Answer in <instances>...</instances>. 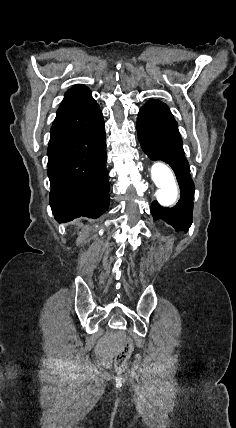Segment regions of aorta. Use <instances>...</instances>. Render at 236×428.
Here are the masks:
<instances>
[{"mask_svg": "<svg viewBox=\"0 0 236 428\" xmlns=\"http://www.w3.org/2000/svg\"><path fill=\"white\" fill-rule=\"evenodd\" d=\"M151 176L158 187L156 198L163 207L173 205L178 196V189L172 170L162 162H156L151 167Z\"/></svg>", "mask_w": 236, "mask_h": 428, "instance_id": "obj_1", "label": "aorta"}]
</instances>
